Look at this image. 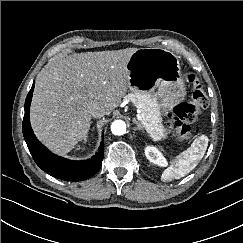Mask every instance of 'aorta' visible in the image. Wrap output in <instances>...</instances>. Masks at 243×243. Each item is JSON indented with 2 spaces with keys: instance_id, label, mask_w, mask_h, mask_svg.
Returning <instances> with one entry per match:
<instances>
[{
  "instance_id": "1",
  "label": "aorta",
  "mask_w": 243,
  "mask_h": 243,
  "mask_svg": "<svg viewBox=\"0 0 243 243\" xmlns=\"http://www.w3.org/2000/svg\"><path fill=\"white\" fill-rule=\"evenodd\" d=\"M111 131L114 135H123L126 133V124L122 120H115L111 125Z\"/></svg>"
}]
</instances>
